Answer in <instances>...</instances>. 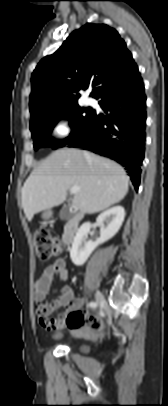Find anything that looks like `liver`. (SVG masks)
Returning <instances> with one entry per match:
<instances>
[{"label":"liver","mask_w":168,"mask_h":406,"mask_svg":"<svg viewBox=\"0 0 168 406\" xmlns=\"http://www.w3.org/2000/svg\"><path fill=\"white\" fill-rule=\"evenodd\" d=\"M128 180L125 170L110 159L63 148L32 171L22 188V207L31 221L35 214L62 204L68 189L77 186L73 205L83 213L101 212L126 196Z\"/></svg>","instance_id":"obj_1"}]
</instances>
